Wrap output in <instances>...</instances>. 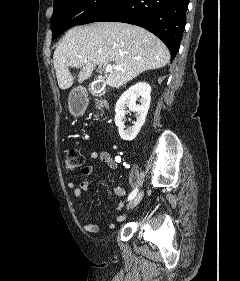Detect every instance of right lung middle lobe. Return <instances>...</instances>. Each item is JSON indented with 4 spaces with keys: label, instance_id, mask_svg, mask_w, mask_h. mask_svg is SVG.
<instances>
[{
    "label": "right lung middle lobe",
    "instance_id": "dd1d6c3e",
    "mask_svg": "<svg viewBox=\"0 0 240 281\" xmlns=\"http://www.w3.org/2000/svg\"><path fill=\"white\" fill-rule=\"evenodd\" d=\"M117 1L54 0V12L51 17L52 40L72 26L94 22Z\"/></svg>",
    "mask_w": 240,
    "mask_h": 281
}]
</instances>
